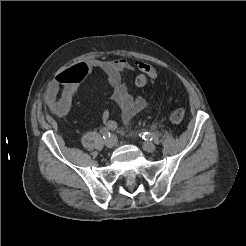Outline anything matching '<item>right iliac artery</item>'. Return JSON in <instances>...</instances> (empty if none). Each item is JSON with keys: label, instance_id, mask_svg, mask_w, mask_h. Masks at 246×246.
Masks as SVG:
<instances>
[{"label": "right iliac artery", "instance_id": "1", "mask_svg": "<svg viewBox=\"0 0 246 246\" xmlns=\"http://www.w3.org/2000/svg\"><path fill=\"white\" fill-rule=\"evenodd\" d=\"M102 135H103V138H104V139H107V138L110 137V132H109V131H104V132L102 133Z\"/></svg>", "mask_w": 246, "mask_h": 246}]
</instances>
